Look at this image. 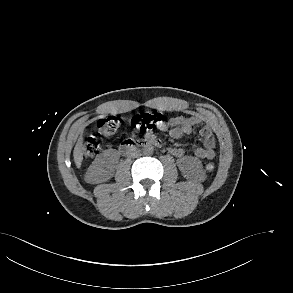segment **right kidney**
Here are the masks:
<instances>
[{
    "instance_id": "ca27d5eb",
    "label": "right kidney",
    "mask_w": 293,
    "mask_h": 293,
    "mask_svg": "<svg viewBox=\"0 0 293 293\" xmlns=\"http://www.w3.org/2000/svg\"><path fill=\"white\" fill-rule=\"evenodd\" d=\"M112 166L104 159L98 158L94 161L85 175V180L88 183L97 184L109 180L113 176Z\"/></svg>"
}]
</instances>
